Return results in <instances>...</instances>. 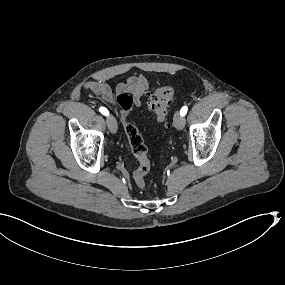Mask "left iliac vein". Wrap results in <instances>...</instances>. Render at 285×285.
<instances>
[{
  "label": "left iliac vein",
  "instance_id": "4c4485c4",
  "mask_svg": "<svg viewBox=\"0 0 285 285\" xmlns=\"http://www.w3.org/2000/svg\"><path fill=\"white\" fill-rule=\"evenodd\" d=\"M174 125L177 129L182 130L185 126V118L179 112H176L173 117Z\"/></svg>",
  "mask_w": 285,
  "mask_h": 285
}]
</instances>
